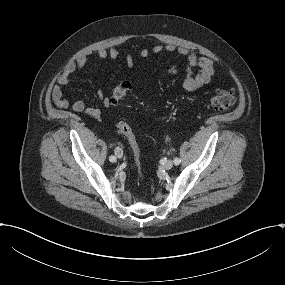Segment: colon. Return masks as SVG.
<instances>
[{
	"mask_svg": "<svg viewBox=\"0 0 285 285\" xmlns=\"http://www.w3.org/2000/svg\"><path fill=\"white\" fill-rule=\"evenodd\" d=\"M166 73L169 75H175L177 73V70L174 67H168L166 69ZM130 91H131L130 82L122 81L113 90L110 96L111 103L113 105L121 104L124 101V99L127 97V95L130 93ZM235 103H236V97L232 91L220 90L210 98L208 106L210 109L215 110L217 112H224L232 108ZM116 128L119 134L124 136L128 141L134 154V163L139 178L143 179L144 175L139 160L140 150L129 125L123 121H120L116 124Z\"/></svg>",
	"mask_w": 285,
	"mask_h": 285,
	"instance_id": "colon-1",
	"label": "colon"
}]
</instances>
